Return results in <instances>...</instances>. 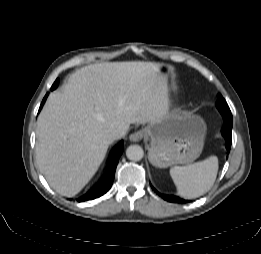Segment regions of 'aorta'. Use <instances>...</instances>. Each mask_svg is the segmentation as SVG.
Here are the masks:
<instances>
[{"mask_svg":"<svg viewBox=\"0 0 261 254\" xmlns=\"http://www.w3.org/2000/svg\"><path fill=\"white\" fill-rule=\"evenodd\" d=\"M126 156L131 161H140L144 156V152L141 146L130 145L126 150Z\"/></svg>","mask_w":261,"mask_h":254,"instance_id":"obj_1","label":"aorta"}]
</instances>
